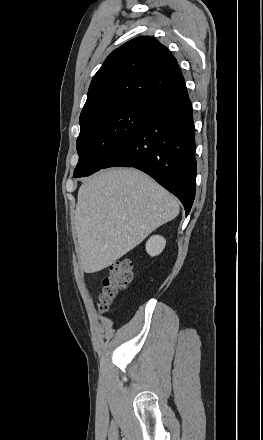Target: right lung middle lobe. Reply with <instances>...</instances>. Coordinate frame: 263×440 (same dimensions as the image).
<instances>
[{
	"mask_svg": "<svg viewBox=\"0 0 263 440\" xmlns=\"http://www.w3.org/2000/svg\"><path fill=\"white\" fill-rule=\"evenodd\" d=\"M151 104L127 103L104 110L83 122L77 139L79 161L75 178L103 168L110 155L124 144L148 117Z\"/></svg>",
	"mask_w": 263,
	"mask_h": 440,
	"instance_id": "right-lung-middle-lobe-1",
	"label": "right lung middle lobe"
}]
</instances>
